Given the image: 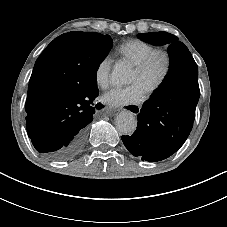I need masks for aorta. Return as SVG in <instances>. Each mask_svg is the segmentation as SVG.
<instances>
[{
    "instance_id": "1",
    "label": "aorta",
    "mask_w": 227,
    "mask_h": 227,
    "mask_svg": "<svg viewBox=\"0 0 227 227\" xmlns=\"http://www.w3.org/2000/svg\"><path fill=\"white\" fill-rule=\"evenodd\" d=\"M130 78V70L124 64H115L111 73V80L115 84H123ZM115 124L117 129L126 135H131L137 127V119L130 111L120 112L116 119Z\"/></svg>"
}]
</instances>
